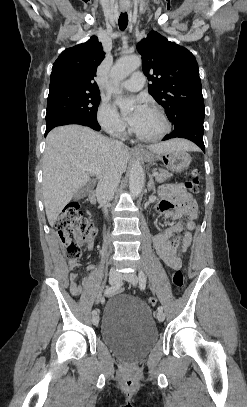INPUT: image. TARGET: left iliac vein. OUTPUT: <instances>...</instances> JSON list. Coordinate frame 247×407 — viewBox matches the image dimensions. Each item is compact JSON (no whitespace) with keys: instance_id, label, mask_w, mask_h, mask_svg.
<instances>
[{"instance_id":"obj_1","label":"left iliac vein","mask_w":247,"mask_h":407,"mask_svg":"<svg viewBox=\"0 0 247 407\" xmlns=\"http://www.w3.org/2000/svg\"><path fill=\"white\" fill-rule=\"evenodd\" d=\"M123 279L134 286L137 285V283H138V277H137L136 273H134V272L124 274ZM156 317H157L158 321H160V322L164 321V319H165L163 312H158Z\"/></svg>"}]
</instances>
